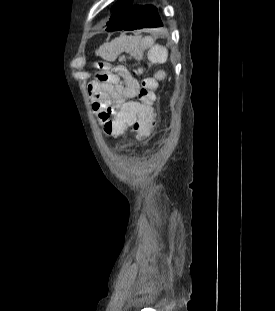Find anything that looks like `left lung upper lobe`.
Here are the masks:
<instances>
[{"mask_svg": "<svg viewBox=\"0 0 275 311\" xmlns=\"http://www.w3.org/2000/svg\"><path fill=\"white\" fill-rule=\"evenodd\" d=\"M141 8L142 5H132L131 0L119 1L112 9L113 14L106 24V31L123 30L135 20Z\"/></svg>", "mask_w": 275, "mask_h": 311, "instance_id": "1", "label": "left lung upper lobe"}]
</instances>
